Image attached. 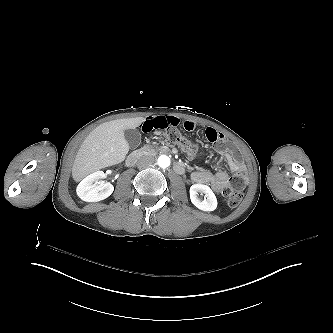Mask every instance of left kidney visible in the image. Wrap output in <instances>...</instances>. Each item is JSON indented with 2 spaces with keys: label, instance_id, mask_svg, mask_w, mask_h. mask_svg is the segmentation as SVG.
Returning <instances> with one entry per match:
<instances>
[{
  "label": "left kidney",
  "instance_id": "obj_1",
  "mask_svg": "<svg viewBox=\"0 0 333 333\" xmlns=\"http://www.w3.org/2000/svg\"><path fill=\"white\" fill-rule=\"evenodd\" d=\"M198 193L205 194V199L200 200ZM191 202L200 210L214 211L217 207V199L209 186L203 184H194L190 187Z\"/></svg>",
  "mask_w": 333,
  "mask_h": 333
}]
</instances>
